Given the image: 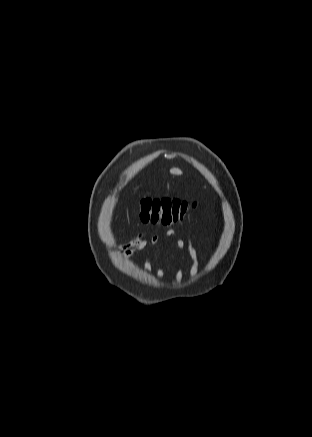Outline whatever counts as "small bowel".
I'll return each mask as SVG.
<instances>
[{"label": "small bowel", "mask_w": 312, "mask_h": 437, "mask_svg": "<svg viewBox=\"0 0 312 437\" xmlns=\"http://www.w3.org/2000/svg\"><path fill=\"white\" fill-rule=\"evenodd\" d=\"M168 236H174L175 232L173 230H169L167 232ZM159 242V236L153 235L150 239V241H147L143 234L138 235L137 237L133 238L132 240L122 243L119 245V249L121 251V254L125 257H131L135 253L145 250L146 248H155ZM183 243L182 241L178 242V247L182 248Z\"/></svg>", "instance_id": "obj_1"}]
</instances>
